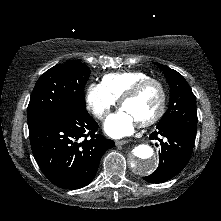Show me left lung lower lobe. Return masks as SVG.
I'll use <instances>...</instances> for the list:
<instances>
[{
  "instance_id": "obj_1",
  "label": "left lung lower lobe",
  "mask_w": 221,
  "mask_h": 221,
  "mask_svg": "<svg viewBox=\"0 0 221 221\" xmlns=\"http://www.w3.org/2000/svg\"><path fill=\"white\" fill-rule=\"evenodd\" d=\"M150 139L160 142L159 166L154 173L143 179L151 183H161L184 169L192 153L195 135L177 125H157Z\"/></svg>"
}]
</instances>
